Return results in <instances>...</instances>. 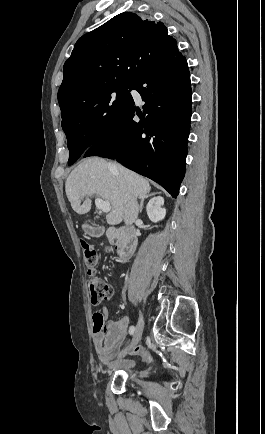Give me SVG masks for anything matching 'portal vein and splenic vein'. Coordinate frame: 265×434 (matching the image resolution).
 Wrapping results in <instances>:
<instances>
[{"mask_svg": "<svg viewBox=\"0 0 265 434\" xmlns=\"http://www.w3.org/2000/svg\"><path fill=\"white\" fill-rule=\"evenodd\" d=\"M95 206L97 210H101V212H105V214L111 210L110 202H105V200H100V198H96Z\"/></svg>", "mask_w": 265, "mask_h": 434, "instance_id": "obj_1", "label": "portal vein and splenic vein"}]
</instances>
